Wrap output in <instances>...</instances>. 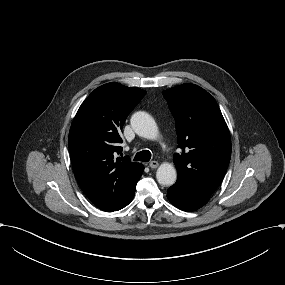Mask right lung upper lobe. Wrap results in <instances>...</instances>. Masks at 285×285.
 <instances>
[{
    "instance_id": "1",
    "label": "right lung upper lobe",
    "mask_w": 285,
    "mask_h": 285,
    "mask_svg": "<svg viewBox=\"0 0 285 285\" xmlns=\"http://www.w3.org/2000/svg\"><path fill=\"white\" fill-rule=\"evenodd\" d=\"M146 91L112 82L96 88L72 122L68 144L74 175L99 209L116 211L141 177L144 166L121 154L120 132Z\"/></svg>"
}]
</instances>
